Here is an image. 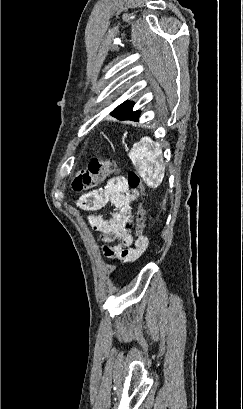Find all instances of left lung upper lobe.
I'll list each match as a JSON object with an SVG mask.
<instances>
[{"instance_id":"5c2ea615","label":"left lung upper lobe","mask_w":243,"mask_h":409,"mask_svg":"<svg viewBox=\"0 0 243 409\" xmlns=\"http://www.w3.org/2000/svg\"><path fill=\"white\" fill-rule=\"evenodd\" d=\"M133 102L130 101H126L124 103H122L121 105H119L117 108H115V110L112 112V114H120V113H124L125 111L131 110L133 107Z\"/></svg>"}]
</instances>
